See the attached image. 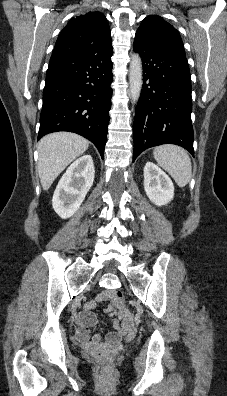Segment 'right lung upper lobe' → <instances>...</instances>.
Returning <instances> with one entry per match:
<instances>
[{"mask_svg": "<svg viewBox=\"0 0 227 396\" xmlns=\"http://www.w3.org/2000/svg\"><path fill=\"white\" fill-rule=\"evenodd\" d=\"M111 44V31L105 15L94 11L72 18L61 31L51 60L78 56Z\"/></svg>", "mask_w": 227, "mask_h": 396, "instance_id": "cb5924a9", "label": "right lung upper lobe"}]
</instances>
